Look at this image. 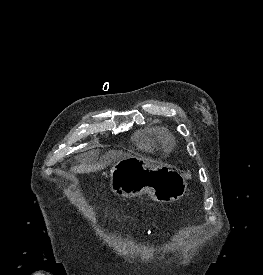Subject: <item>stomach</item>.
I'll return each mask as SVG.
<instances>
[{"instance_id": "obj_1", "label": "stomach", "mask_w": 263, "mask_h": 275, "mask_svg": "<svg viewBox=\"0 0 263 275\" xmlns=\"http://www.w3.org/2000/svg\"><path fill=\"white\" fill-rule=\"evenodd\" d=\"M110 189L120 197L148 194L154 201L168 203L179 200L187 190L180 172L129 156L117 161L110 171Z\"/></svg>"}]
</instances>
